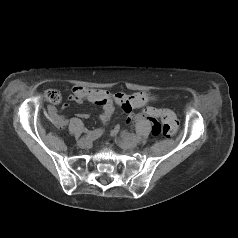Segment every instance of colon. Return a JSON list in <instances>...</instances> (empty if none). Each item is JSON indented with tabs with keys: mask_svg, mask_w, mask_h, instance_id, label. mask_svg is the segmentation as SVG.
I'll list each match as a JSON object with an SVG mask.
<instances>
[{
	"mask_svg": "<svg viewBox=\"0 0 238 238\" xmlns=\"http://www.w3.org/2000/svg\"><path fill=\"white\" fill-rule=\"evenodd\" d=\"M45 98L52 104H59L61 102V95L55 89H49L45 92ZM143 116L151 120H162V124L154 123L152 128V134L154 136L163 135L165 137L173 136L178 128V121L176 117L167 110L156 109L153 107H147L142 112ZM130 119L127 120L129 122Z\"/></svg>",
	"mask_w": 238,
	"mask_h": 238,
	"instance_id": "1",
	"label": "colon"
}]
</instances>
